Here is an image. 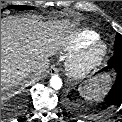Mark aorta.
I'll return each instance as SVG.
<instances>
[{
  "label": "aorta",
  "instance_id": "obj_1",
  "mask_svg": "<svg viewBox=\"0 0 122 122\" xmlns=\"http://www.w3.org/2000/svg\"><path fill=\"white\" fill-rule=\"evenodd\" d=\"M50 86L55 90L60 89L62 87L61 78L56 75L52 76L50 79Z\"/></svg>",
  "mask_w": 122,
  "mask_h": 122
}]
</instances>
